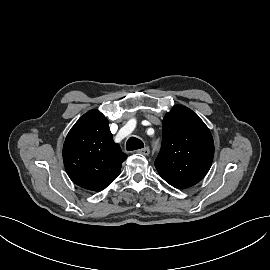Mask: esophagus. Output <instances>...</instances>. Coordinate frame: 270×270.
Segmentation results:
<instances>
[{"instance_id":"34e87169","label":"esophagus","mask_w":270,"mask_h":270,"mask_svg":"<svg viewBox=\"0 0 270 270\" xmlns=\"http://www.w3.org/2000/svg\"><path fill=\"white\" fill-rule=\"evenodd\" d=\"M137 153L143 154V155H149L150 149L148 147H144L142 149L137 150Z\"/></svg>"}]
</instances>
